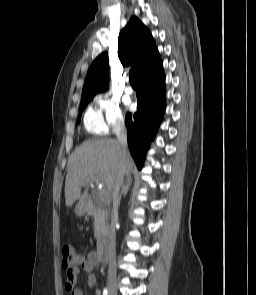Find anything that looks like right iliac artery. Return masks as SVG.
I'll return each mask as SVG.
<instances>
[{
    "mask_svg": "<svg viewBox=\"0 0 256 295\" xmlns=\"http://www.w3.org/2000/svg\"><path fill=\"white\" fill-rule=\"evenodd\" d=\"M103 295H108V291L106 288L103 290Z\"/></svg>",
    "mask_w": 256,
    "mask_h": 295,
    "instance_id": "82829eb1",
    "label": "right iliac artery"
}]
</instances>
